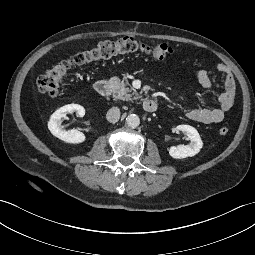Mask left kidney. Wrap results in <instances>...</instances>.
Masks as SVG:
<instances>
[{"label": "left kidney", "mask_w": 255, "mask_h": 255, "mask_svg": "<svg viewBox=\"0 0 255 255\" xmlns=\"http://www.w3.org/2000/svg\"><path fill=\"white\" fill-rule=\"evenodd\" d=\"M176 129L177 131H182L187 139L190 140V143L188 145L172 146L169 149L170 156L176 159H183L198 154L203 146L198 131L190 125H178Z\"/></svg>", "instance_id": "5707ae66"}]
</instances>
